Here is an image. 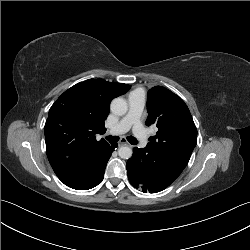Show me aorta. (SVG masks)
Listing matches in <instances>:
<instances>
[{"mask_svg":"<svg viewBox=\"0 0 250 250\" xmlns=\"http://www.w3.org/2000/svg\"><path fill=\"white\" fill-rule=\"evenodd\" d=\"M110 110L116 115H124L128 110L127 101L122 97L113 99L110 104ZM119 157L122 159H129L132 156V149L128 146H122L118 150Z\"/></svg>","mask_w":250,"mask_h":250,"instance_id":"1","label":"aorta"}]
</instances>
